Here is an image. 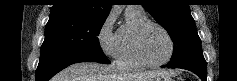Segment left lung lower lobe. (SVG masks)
Instances as JSON below:
<instances>
[{"label": "left lung lower lobe", "instance_id": "0a47b994", "mask_svg": "<svg viewBox=\"0 0 237 81\" xmlns=\"http://www.w3.org/2000/svg\"><path fill=\"white\" fill-rule=\"evenodd\" d=\"M178 68L186 69L195 73L196 75L200 77L202 81L207 80V68L204 65H189V66H183V67H178Z\"/></svg>", "mask_w": 237, "mask_h": 81}]
</instances>
